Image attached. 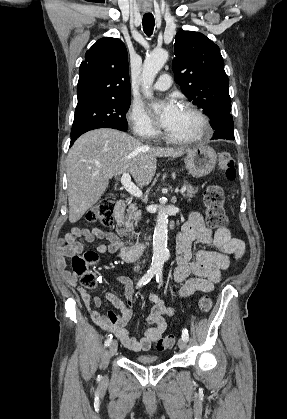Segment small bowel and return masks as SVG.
Here are the masks:
<instances>
[{
    "label": "small bowel",
    "mask_w": 287,
    "mask_h": 419,
    "mask_svg": "<svg viewBox=\"0 0 287 419\" xmlns=\"http://www.w3.org/2000/svg\"><path fill=\"white\" fill-rule=\"evenodd\" d=\"M82 238L86 242L95 239H105L107 243L98 244L96 250L100 254H112L122 249L123 243L119 237L110 231L99 228L81 229L73 228L66 234L65 239ZM199 242L210 248L192 251V244ZM244 251V243L232 237L225 228H210L197 213H192L179 233L176 246V268L173 278L176 282L183 283L180 296L187 297L195 292L208 293L213 291L221 279V272L228 268V254L239 259ZM71 252L64 247L57 252L56 265L62 277L70 285H75L77 276L67 268L66 258ZM124 287L126 302L112 292H106L105 298L121 310V315L109 310L100 313L97 308L102 305V299L92 297L83 287L78 288L83 303L85 304L92 320L104 330L115 334L123 345L132 351L140 352L149 350L161 338L167 328L166 317L173 315L175 309L165 305L156 295H152L153 306L147 318L152 325L145 330L141 339L132 337L126 328L132 316L131 304L133 295L132 281L125 276L116 279Z\"/></svg>",
    "instance_id": "1"
}]
</instances>
